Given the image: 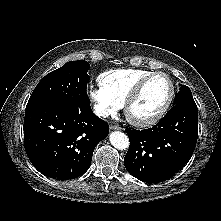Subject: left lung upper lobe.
I'll return each instance as SVG.
<instances>
[{
  "label": "left lung upper lobe",
  "instance_id": "left-lung-upper-lobe-1",
  "mask_svg": "<svg viewBox=\"0 0 221 221\" xmlns=\"http://www.w3.org/2000/svg\"><path fill=\"white\" fill-rule=\"evenodd\" d=\"M174 102H175V105L184 104V103H194L191 90L187 86L182 85L179 88L178 93L175 95Z\"/></svg>",
  "mask_w": 221,
  "mask_h": 221
}]
</instances>
